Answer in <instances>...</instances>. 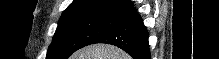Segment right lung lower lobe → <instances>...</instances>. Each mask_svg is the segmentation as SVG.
Instances as JSON below:
<instances>
[{"label":"right lung lower lobe","mask_w":219,"mask_h":59,"mask_svg":"<svg viewBox=\"0 0 219 59\" xmlns=\"http://www.w3.org/2000/svg\"><path fill=\"white\" fill-rule=\"evenodd\" d=\"M114 12L125 15L127 19L101 35L93 44H112L126 51L133 59H150L149 35L131 2L128 0L120 4Z\"/></svg>","instance_id":"obj_1"}]
</instances>
